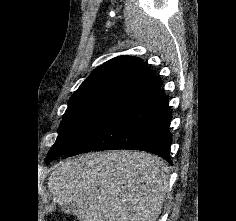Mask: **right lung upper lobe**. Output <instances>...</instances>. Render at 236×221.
Wrapping results in <instances>:
<instances>
[{
	"instance_id": "right-lung-upper-lobe-1",
	"label": "right lung upper lobe",
	"mask_w": 236,
	"mask_h": 221,
	"mask_svg": "<svg viewBox=\"0 0 236 221\" xmlns=\"http://www.w3.org/2000/svg\"><path fill=\"white\" fill-rule=\"evenodd\" d=\"M160 79L137 57H115L93 70L70 100L77 97L111 91L138 93Z\"/></svg>"
}]
</instances>
